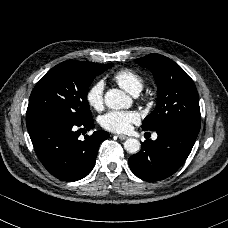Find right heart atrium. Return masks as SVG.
<instances>
[{
    "label": "right heart atrium",
    "instance_id": "right-heart-atrium-1",
    "mask_svg": "<svg viewBox=\"0 0 228 228\" xmlns=\"http://www.w3.org/2000/svg\"><path fill=\"white\" fill-rule=\"evenodd\" d=\"M105 86L106 84L103 79H97L91 83L86 91L85 99L88 105L95 110L103 108Z\"/></svg>",
    "mask_w": 228,
    "mask_h": 228
}]
</instances>
